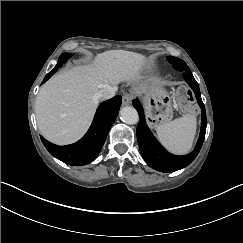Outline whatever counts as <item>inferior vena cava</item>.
Instances as JSON below:
<instances>
[{"label": "inferior vena cava", "instance_id": "602c4592", "mask_svg": "<svg viewBox=\"0 0 243 243\" xmlns=\"http://www.w3.org/2000/svg\"><path fill=\"white\" fill-rule=\"evenodd\" d=\"M117 91V86L104 85L101 90L98 92V98L101 100H108L115 96V92Z\"/></svg>", "mask_w": 243, "mask_h": 243}]
</instances>
